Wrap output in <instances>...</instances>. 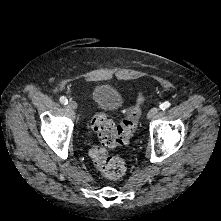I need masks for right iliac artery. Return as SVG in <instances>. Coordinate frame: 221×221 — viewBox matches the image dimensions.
<instances>
[{
  "instance_id": "82829eb1",
  "label": "right iliac artery",
  "mask_w": 221,
  "mask_h": 221,
  "mask_svg": "<svg viewBox=\"0 0 221 221\" xmlns=\"http://www.w3.org/2000/svg\"><path fill=\"white\" fill-rule=\"evenodd\" d=\"M60 102L64 105H66L68 103V100L65 96L60 97Z\"/></svg>"
}]
</instances>
